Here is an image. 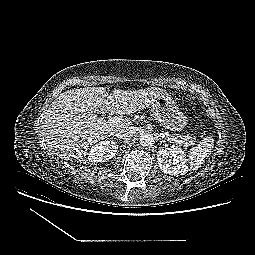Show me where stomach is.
<instances>
[{
	"label": "stomach",
	"mask_w": 255,
	"mask_h": 255,
	"mask_svg": "<svg viewBox=\"0 0 255 255\" xmlns=\"http://www.w3.org/2000/svg\"><path fill=\"white\" fill-rule=\"evenodd\" d=\"M156 120L171 131H181L187 125V117L172 100L171 96L163 92L151 104Z\"/></svg>",
	"instance_id": "obj_1"
}]
</instances>
